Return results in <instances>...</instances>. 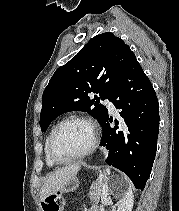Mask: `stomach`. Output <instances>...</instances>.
<instances>
[{
  "label": "stomach",
  "mask_w": 179,
  "mask_h": 211,
  "mask_svg": "<svg viewBox=\"0 0 179 211\" xmlns=\"http://www.w3.org/2000/svg\"><path fill=\"white\" fill-rule=\"evenodd\" d=\"M79 180L77 177H73L71 178L67 184L60 190L58 191V193H69V192H73L75 191L78 187H79ZM56 195V194H54Z\"/></svg>",
  "instance_id": "stomach-1"
}]
</instances>
